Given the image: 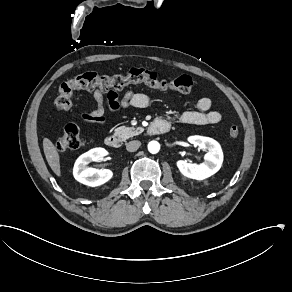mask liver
I'll list each match as a JSON object with an SVG mask.
<instances>
[{"label": "liver", "instance_id": "6515ba94", "mask_svg": "<svg viewBox=\"0 0 292 292\" xmlns=\"http://www.w3.org/2000/svg\"><path fill=\"white\" fill-rule=\"evenodd\" d=\"M43 149L49 166L57 176H60L59 154L54 144L48 138L43 139Z\"/></svg>", "mask_w": 292, "mask_h": 292}]
</instances>
